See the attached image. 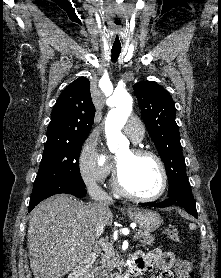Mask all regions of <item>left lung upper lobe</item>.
I'll list each match as a JSON object with an SVG mask.
<instances>
[{
	"label": "left lung upper lobe",
	"instance_id": "left-lung-upper-lobe-1",
	"mask_svg": "<svg viewBox=\"0 0 221 278\" xmlns=\"http://www.w3.org/2000/svg\"><path fill=\"white\" fill-rule=\"evenodd\" d=\"M133 88L148 133L165 164L171 196L180 187L189 185L173 99L153 81L136 83Z\"/></svg>",
	"mask_w": 221,
	"mask_h": 278
}]
</instances>
